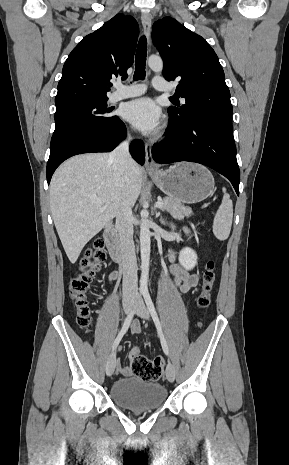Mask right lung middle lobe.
Instances as JSON below:
<instances>
[{
    "mask_svg": "<svg viewBox=\"0 0 289 465\" xmlns=\"http://www.w3.org/2000/svg\"><path fill=\"white\" fill-rule=\"evenodd\" d=\"M107 100H75L56 105L55 131L50 148L87 130L110 126L117 116H109Z\"/></svg>",
    "mask_w": 289,
    "mask_h": 465,
    "instance_id": "1",
    "label": "right lung middle lobe"
}]
</instances>
